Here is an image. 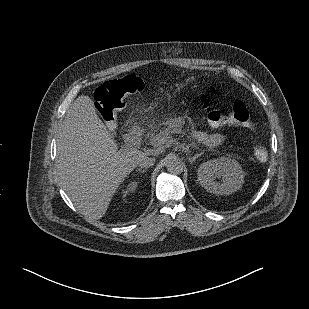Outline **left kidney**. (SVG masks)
I'll list each match as a JSON object with an SVG mask.
<instances>
[{
    "label": "left kidney",
    "mask_w": 309,
    "mask_h": 309,
    "mask_svg": "<svg viewBox=\"0 0 309 309\" xmlns=\"http://www.w3.org/2000/svg\"><path fill=\"white\" fill-rule=\"evenodd\" d=\"M197 181L208 192L229 195L239 190L244 184V172L234 159L220 157L200 165Z\"/></svg>",
    "instance_id": "5707ae66"
}]
</instances>
